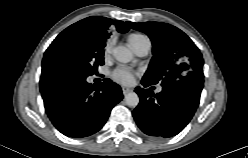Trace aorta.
Wrapping results in <instances>:
<instances>
[{"label": "aorta", "mask_w": 248, "mask_h": 158, "mask_svg": "<svg viewBox=\"0 0 248 158\" xmlns=\"http://www.w3.org/2000/svg\"><path fill=\"white\" fill-rule=\"evenodd\" d=\"M113 56L121 63H128L133 59L132 52L124 46L115 47L113 49ZM125 103L129 107H136L139 104V96L135 92H130L125 96Z\"/></svg>", "instance_id": "1"}]
</instances>
